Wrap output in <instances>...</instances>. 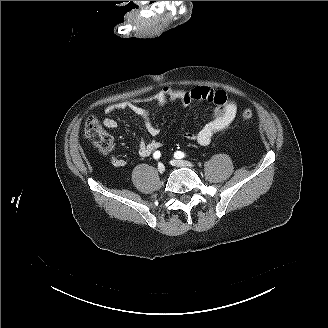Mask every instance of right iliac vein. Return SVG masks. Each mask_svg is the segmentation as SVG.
<instances>
[{"label": "right iliac vein", "mask_w": 328, "mask_h": 328, "mask_svg": "<svg viewBox=\"0 0 328 328\" xmlns=\"http://www.w3.org/2000/svg\"><path fill=\"white\" fill-rule=\"evenodd\" d=\"M159 173L163 174L165 172V166L162 163L158 164Z\"/></svg>", "instance_id": "63e3f726"}]
</instances>
